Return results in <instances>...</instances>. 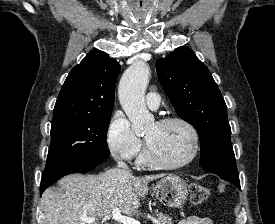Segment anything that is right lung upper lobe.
Instances as JSON below:
<instances>
[{"label":"right lung upper lobe","mask_w":275,"mask_h":224,"mask_svg":"<svg viewBox=\"0 0 275 224\" xmlns=\"http://www.w3.org/2000/svg\"><path fill=\"white\" fill-rule=\"evenodd\" d=\"M119 63L107 53L92 50L75 66L58 95L53 118L112 113Z\"/></svg>","instance_id":"right-lung-upper-lobe-1"}]
</instances>
